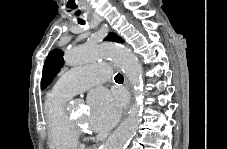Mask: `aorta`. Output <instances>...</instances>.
Returning a JSON list of instances; mask_svg holds the SVG:
<instances>
[{"instance_id": "obj_1", "label": "aorta", "mask_w": 227, "mask_h": 149, "mask_svg": "<svg viewBox=\"0 0 227 149\" xmlns=\"http://www.w3.org/2000/svg\"><path fill=\"white\" fill-rule=\"evenodd\" d=\"M111 59L125 73L134 88L135 102L128 116L109 136L103 149H125L135 135L140 123L143 103V69L134 54L118 45L74 46L65 50L64 60L67 66H76L99 59Z\"/></svg>"}]
</instances>
